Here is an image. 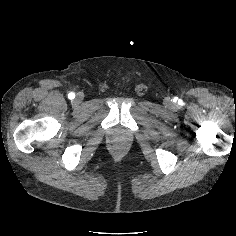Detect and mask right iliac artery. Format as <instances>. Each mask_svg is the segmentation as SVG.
I'll return each instance as SVG.
<instances>
[{
    "mask_svg": "<svg viewBox=\"0 0 236 236\" xmlns=\"http://www.w3.org/2000/svg\"><path fill=\"white\" fill-rule=\"evenodd\" d=\"M68 98L69 99H74L75 98V94L73 92L68 94Z\"/></svg>",
    "mask_w": 236,
    "mask_h": 236,
    "instance_id": "82829eb1",
    "label": "right iliac artery"
}]
</instances>
